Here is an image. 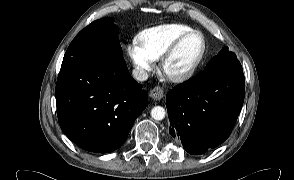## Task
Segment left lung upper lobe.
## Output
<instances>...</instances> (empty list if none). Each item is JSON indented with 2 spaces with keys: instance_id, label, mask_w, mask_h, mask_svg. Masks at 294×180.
<instances>
[{
  "instance_id": "obj_1",
  "label": "left lung upper lobe",
  "mask_w": 294,
  "mask_h": 180,
  "mask_svg": "<svg viewBox=\"0 0 294 180\" xmlns=\"http://www.w3.org/2000/svg\"><path fill=\"white\" fill-rule=\"evenodd\" d=\"M224 70H242V66L235 53L230 52L227 47H224L218 55L213 57L206 65L205 69L194 78L197 80H204L209 76Z\"/></svg>"
}]
</instances>
